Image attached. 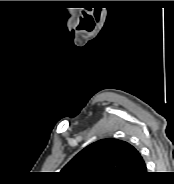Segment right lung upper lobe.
I'll list each match as a JSON object with an SVG mask.
<instances>
[{
  "label": "right lung upper lobe",
  "mask_w": 174,
  "mask_h": 184,
  "mask_svg": "<svg viewBox=\"0 0 174 184\" xmlns=\"http://www.w3.org/2000/svg\"><path fill=\"white\" fill-rule=\"evenodd\" d=\"M145 170L143 158L132 145L107 138L84 148L61 172L72 183L117 184L136 178Z\"/></svg>",
  "instance_id": "obj_1"
}]
</instances>
